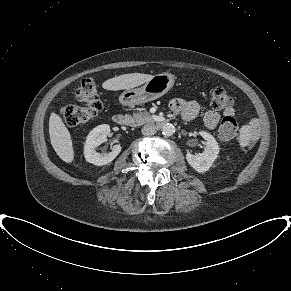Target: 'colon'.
<instances>
[{"mask_svg": "<svg viewBox=\"0 0 291 291\" xmlns=\"http://www.w3.org/2000/svg\"><path fill=\"white\" fill-rule=\"evenodd\" d=\"M77 105H68L61 109V115L69 126L87 123L94 118L102 108V103L93 79L86 78L75 91ZM232 103L231 97L222 87L212 92L211 106L215 110L228 108ZM219 136L226 141L236 142L239 139V128L233 116H225L220 123Z\"/></svg>", "mask_w": 291, "mask_h": 291, "instance_id": "colon-1", "label": "colon"}]
</instances>
